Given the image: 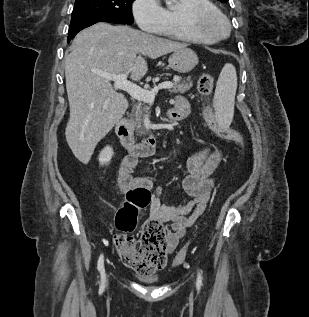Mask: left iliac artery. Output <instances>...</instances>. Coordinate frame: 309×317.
<instances>
[{
  "label": "left iliac artery",
  "instance_id": "44dca946",
  "mask_svg": "<svg viewBox=\"0 0 309 317\" xmlns=\"http://www.w3.org/2000/svg\"><path fill=\"white\" fill-rule=\"evenodd\" d=\"M201 285H202V275H201V271L198 270V275H197V287L200 288Z\"/></svg>",
  "mask_w": 309,
  "mask_h": 317
}]
</instances>
